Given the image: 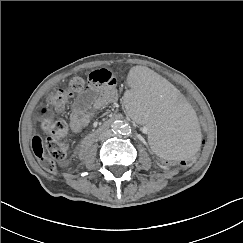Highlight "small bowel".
<instances>
[{
	"label": "small bowel",
	"mask_w": 243,
	"mask_h": 243,
	"mask_svg": "<svg viewBox=\"0 0 243 243\" xmlns=\"http://www.w3.org/2000/svg\"><path fill=\"white\" fill-rule=\"evenodd\" d=\"M117 99L116 80L111 85L90 84L87 91L82 93L73 103L70 115L71 131L79 133L90 123L96 112L115 103Z\"/></svg>",
	"instance_id": "small-bowel-1"
}]
</instances>
